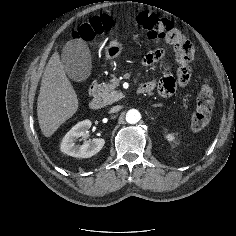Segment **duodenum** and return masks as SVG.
Here are the masks:
<instances>
[{
	"label": "duodenum",
	"mask_w": 236,
	"mask_h": 236,
	"mask_svg": "<svg viewBox=\"0 0 236 236\" xmlns=\"http://www.w3.org/2000/svg\"><path fill=\"white\" fill-rule=\"evenodd\" d=\"M143 85L141 87H139L138 90H137V92L139 94L148 93V90L146 88H144ZM89 96H90V104H89L90 108L93 109V110L99 109L101 107V99H100V96L98 94L97 82L96 81H94L90 85Z\"/></svg>",
	"instance_id": "duodenum-1"
}]
</instances>
